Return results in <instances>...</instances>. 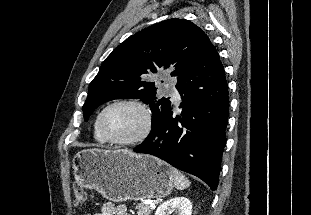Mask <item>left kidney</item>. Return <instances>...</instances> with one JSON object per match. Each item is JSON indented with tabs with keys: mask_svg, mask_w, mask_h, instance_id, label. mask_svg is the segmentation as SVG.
Instances as JSON below:
<instances>
[{
	"mask_svg": "<svg viewBox=\"0 0 311 215\" xmlns=\"http://www.w3.org/2000/svg\"><path fill=\"white\" fill-rule=\"evenodd\" d=\"M171 212L176 215H191L192 203L188 198L176 197L161 204L157 208L155 215H169Z\"/></svg>",
	"mask_w": 311,
	"mask_h": 215,
	"instance_id": "obj_1",
	"label": "left kidney"
}]
</instances>
